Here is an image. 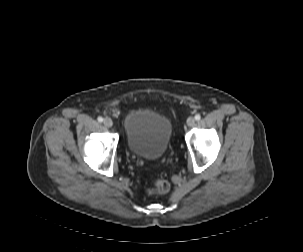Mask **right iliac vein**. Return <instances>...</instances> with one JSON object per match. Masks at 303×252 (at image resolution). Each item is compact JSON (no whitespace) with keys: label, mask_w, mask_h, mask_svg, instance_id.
Listing matches in <instances>:
<instances>
[{"label":"right iliac vein","mask_w":303,"mask_h":252,"mask_svg":"<svg viewBox=\"0 0 303 252\" xmlns=\"http://www.w3.org/2000/svg\"><path fill=\"white\" fill-rule=\"evenodd\" d=\"M103 124H104L106 127L110 128V127L113 126V121H112L110 118H105L104 121H103Z\"/></svg>","instance_id":"63e3f726"}]
</instances>
